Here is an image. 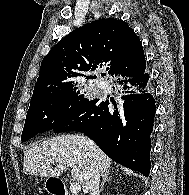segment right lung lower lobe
<instances>
[{
  "label": "right lung lower lobe",
  "instance_id": "1",
  "mask_svg": "<svg viewBox=\"0 0 189 195\" xmlns=\"http://www.w3.org/2000/svg\"><path fill=\"white\" fill-rule=\"evenodd\" d=\"M145 68L115 76L121 93L117 104L112 99L91 100L53 130L82 132L113 161L148 176L156 107Z\"/></svg>",
  "mask_w": 189,
  "mask_h": 195
}]
</instances>
